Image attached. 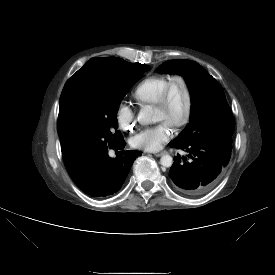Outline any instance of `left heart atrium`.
Listing matches in <instances>:
<instances>
[{"mask_svg":"<svg viewBox=\"0 0 275 275\" xmlns=\"http://www.w3.org/2000/svg\"><path fill=\"white\" fill-rule=\"evenodd\" d=\"M171 127L170 124L162 122L156 126L144 128L131 138V143L135 148L158 151L170 139Z\"/></svg>","mask_w":275,"mask_h":275,"instance_id":"left-heart-atrium-1","label":"left heart atrium"}]
</instances>
